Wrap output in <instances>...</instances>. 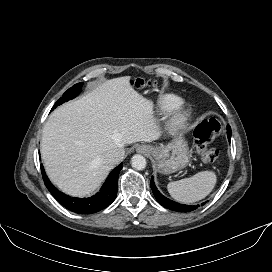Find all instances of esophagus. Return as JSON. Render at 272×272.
I'll return each mask as SVG.
<instances>
[{"label":"esophagus","instance_id":"1","mask_svg":"<svg viewBox=\"0 0 272 272\" xmlns=\"http://www.w3.org/2000/svg\"><path fill=\"white\" fill-rule=\"evenodd\" d=\"M137 151L140 153H150L151 149L148 146H140Z\"/></svg>","mask_w":272,"mask_h":272}]
</instances>
